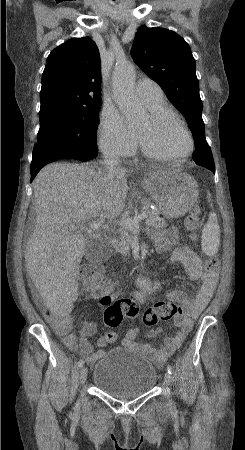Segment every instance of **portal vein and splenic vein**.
Returning a JSON list of instances; mask_svg holds the SVG:
<instances>
[{
  "mask_svg": "<svg viewBox=\"0 0 245 450\" xmlns=\"http://www.w3.org/2000/svg\"><path fill=\"white\" fill-rule=\"evenodd\" d=\"M147 217V214L145 212H142L141 214H139L138 216L134 217V218H125L122 219L120 221H116L115 225H119L122 228L128 229V230H138L139 229V222H141L142 220H144ZM103 224V215L100 216V220L98 221H92L89 224V227L92 230H97L99 229ZM69 229L71 231H76L78 229V227L76 225H71L69 227Z\"/></svg>",
  "mask_w": 245,
  "mask_h": 450,
  "instance_id": "portal-vein-and-splenic-vein-1",
  "label": "portal vein and splenic vein"
}]
</instances>
